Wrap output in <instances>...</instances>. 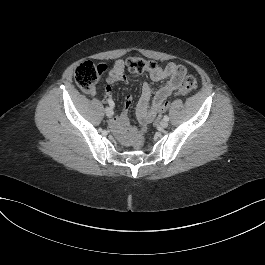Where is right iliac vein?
Listing matches in <instances>:
<instances>
[{
  "label": "right iliac vein",
  "instance_id": "1",
  "mask_svg": "<svg viewBox=\"0 0 265 265\" xmlns=\"http://www.w3.org/2000/svg\"><path fill=\"white\" fill-rule=\"evenodd\" d=\"M105 113H106L107 117H109V118L113 116V111L110 107H106Z\"/></svg>",
  "mask_w": 265,
  "mask_h": 265
}]
</instances>
